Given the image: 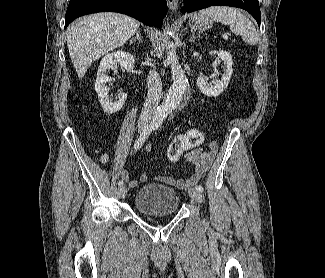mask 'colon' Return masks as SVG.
I'll list each match as a JSON object with an SVG mask.
<instances>
[{"mask_svg":"<svg viewBox=\"0 0 325 278\" xmlns=\"http://www.w3.org/2000/svg\"><path fill=\"white\" fill-rule=\"evenodd\" d=\"M204 142V133L200 129H191L189 134L176 136L167 148L166 157L171 163H176L181 155Z\"/></svg>","mask_w":325,"mask_h":278,"instance_id":"1","label":"colon"}]
</instances>
